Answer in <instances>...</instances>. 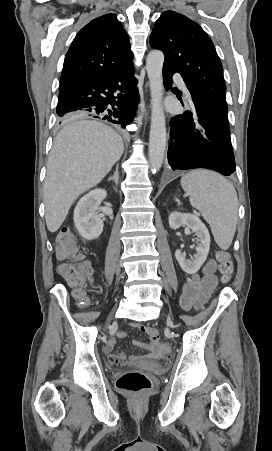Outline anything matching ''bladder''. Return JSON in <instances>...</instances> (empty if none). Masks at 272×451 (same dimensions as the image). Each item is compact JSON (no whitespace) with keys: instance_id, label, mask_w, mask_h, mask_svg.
Segmentation results:
<instances>
[{"instance_id":"1","label":"bladder","mask_w":272,"mask_h":451,"mask_svg":"<svg viewBox=\"0 0 272 451\" xmlns=\"http://www.w3.org/2000/svg\"><path fill=\"white\" fill-rule=\"evenodd\" d=\"M138 367L147 373H161L164 370V361L160 359H146L140 361Z\"/></svg>"}]
</instances>
